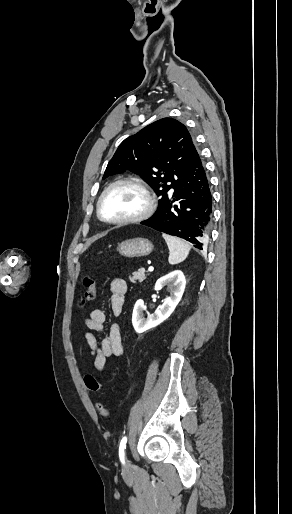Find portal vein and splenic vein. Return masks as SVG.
I'll list each match as a JSON object with an SVG mask.
<instances>
[{
	"label": "portal vein and splenic vein",
	"instance_id": "portal-vein-and-splenic-vein-1",
	"mask_svg": "<svg viewBox=\"0 0 292 514\" xmlns=\"http://www.w3.org/2000/svg\"><path fill=\"white\" fill-rule=\"evenodd\" d=\"M149 272H152V270H154V268H152V266H150V268H148Z\"/></svg>",
	"mask_w": 292,
	"mask_h": 514
}]
</instances>
